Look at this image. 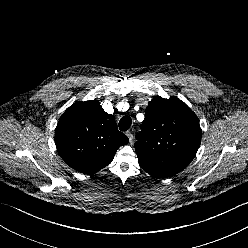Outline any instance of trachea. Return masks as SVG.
<instances>
[{
    "instance_id": "trachea-1",
    "label": "trachea",
    "mask_w": 248,
    "mask_h": 248,
    "mask_svg": "<svg viewBox=\"0 0 248 248\" xmlns=\"http://www.w3.org/2000/svg\"><path fill=\"white\" fill-rule=\"evenodd\" d=\"M132 124V120L129 116H123L119 121V129L121 131H127Z\"/></svg>"
}]
</instances>
